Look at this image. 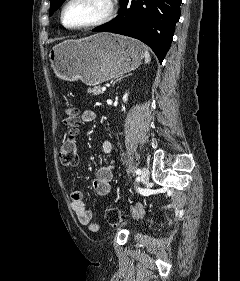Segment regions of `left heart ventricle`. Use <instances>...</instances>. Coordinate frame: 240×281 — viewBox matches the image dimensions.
I'll use <instances>...</instances> for the list:
<instances>
[{
	"mask_svg": "<svg viewBox=\"0 0 240 281\" xmlns=\"http://www.w3.org/2000/svg\"><path fill=\"white\" fill-rule=\"evenodd\" d=\"M107 9L106 0H73L64 14L69 26H78L99 19Z\"/></svg>",
	"mask_w": 240,
	"mask_h": 281,
	"instance_id": "1",
	"label": "left heart ventricle"
}]
</instances>
